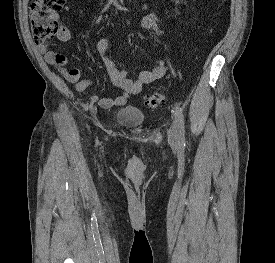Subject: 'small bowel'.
Segmentation results:
<instances>
[{
    "mask_svg": "<svg viewBox=\"0 0 275 263\" xmlns=\"http://www.w3.org/2000/svg\"><path fill=\"white\" fill-rule=\"evenodd\" d=\"M77 12L82 14L83 9L77 8ZM138 23L143 29L152 30L158 35L163 34L159 18L156 14H144L139 18ZM70 38V32L66 28L61 27L57 34V39L60 41H68ZM109 47L110 42L106 37L100 38L96 45L97 52L102 58L111 81L116 86L120 87L122 92L114 98L91 96L90 100L97 103L102 108L110 109L124 106L129 98L133 95L139 94L146 84L161 79L170 70V64L166 60L160 59L157 61L153 69L143 70L136 79H130L127 77V72L124 69L117 67L114 61L106 55ZM37 48L40 53L44 54L45 59L49 64L56 67L59 73L68 82L74 84L77 91L86 92L93 85V80L91 78H81L79 70L69 65V60L64 54L49 50L48 44L38 45Z\"/></svg>",
    "mask_w": 275,
    "mask_h": 263,
    "instance_id": "obj_1",
    "label": "small bowel"
}]
</instances>
